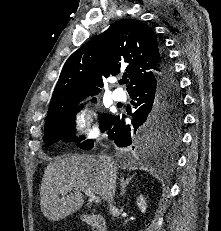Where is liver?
<instances>
[{"label":"liver","mask_w":221,"mask_h":231,"mask_svg":"<svg viewBox=\"0 0 221 231\" xmlns=\"http://www.w3.org/2000/svg\"><path fill=\"white\" fill-rule=\"evenodd\" d=\"M83 189L107 200V174L97 158L86 154L63 155L50 162L40 187L43 215L59 221L80 210Z\"/></svg>","instance_id":"1"}]
</instances>
